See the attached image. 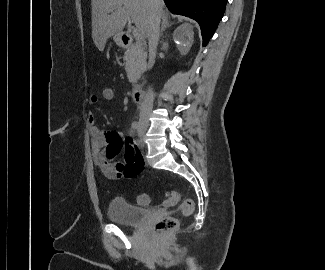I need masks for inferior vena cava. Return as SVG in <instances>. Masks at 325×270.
<instances>
[{
  "instance_id": "inferior-vena-cava-1",
  "label": "inferior vena cava",
  "mask_w": 325,
  "mask_h": 270,
  "mask_svg": "<svg viewBox=\"0 0 325 270\" xmlns=\"http://www.w3.org/2000/svg\"><path fill=\"white\" fill-rule=\"evenodd\" d=\"M159 0H151L152 15L149 22L148 42H149V68L155 63V56L160 33V20L162 13L159 8ZM154 93L149 88L140 108V120L147 122L153 107Z\"/></svg>"
}]
</instances>
